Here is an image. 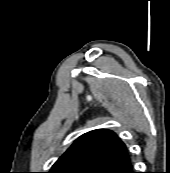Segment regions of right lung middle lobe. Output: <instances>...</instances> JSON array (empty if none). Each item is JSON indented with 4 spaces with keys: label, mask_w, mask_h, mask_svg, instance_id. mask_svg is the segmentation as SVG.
Instances as JSON below:
<instances>
[{
    "label": "right lung middle lobe",
    "mask_w": 170,
    "mask_h": 173,
    "mask_svg": "<svg viewBox=\"0 0 170 173\" xmlns=\"http://www.w3.org/2000/svg\"><path fill=\"white\" fill-rule=\"evenodd\" d=\"M65 173H72L71 171H65Z\"/></svg>",
    "instance_id": "obj_1"
}]
</instances>
